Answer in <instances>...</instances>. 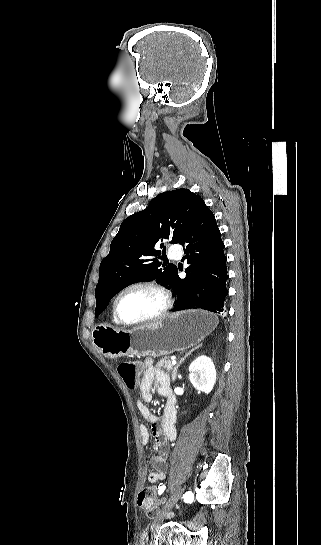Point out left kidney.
<instances>
[{
	"label": "left kidney",
	"mask_w": 321,
	"mask_h": 545,
	"mask_svg": "<svg viewBox=\"0 0 321 545\" xmlns=\"http://www.w3.org/2000/svg\"><path fill=\"white\" fill-rule=\"evenodd\" d=\"M216 377L217 373L212 359L201 355L192 361L189 367V379L197 391H203L207 395L211 393L216 383Z\"/></svg>",
	"instance_id": "1"
}]
</instances>
